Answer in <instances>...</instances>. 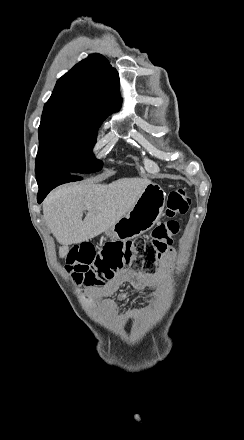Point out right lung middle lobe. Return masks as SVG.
Instances as JSON below:
<instances>
[{"label":"right lung middle lobe","mask_w":244,"mask_h":440,"mask_svg":"<svg viewBox=\"0 0 244 440\" xmlns=\"http://www.w3.org/2000/svg\"><path fill=\"white\" fill-rule=\"evenodd\" d=\"M111 113L65 103L45 104L39 126L36 176L46 172L86 174L97 172L102 162L92 149L98 129Z\"/></svg>","instance_id":"obj_1"}]
</instances>
